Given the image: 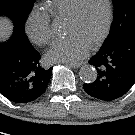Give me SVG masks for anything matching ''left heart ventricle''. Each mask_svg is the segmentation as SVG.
I'll return each instance as SVG.
<instances>
[{
    "label": "left heart ventricle",
    "mask_w": 135,
    "mask_h": 135,
    "mask_svg": "<svg viewBox=\"0 0 135 135\" xmlns=\"http://www.w3.org/2000/svg\"><path fill=\"white\" fill-rule=\"evenodd\" d=\"M107 15L105 0H84L78 17L65 21L67 35H77L89 45L102 33Z\"/></svg>",
    "instance_id": "1"
}]
</instances>
